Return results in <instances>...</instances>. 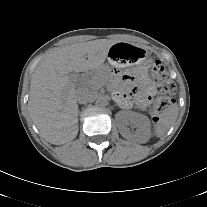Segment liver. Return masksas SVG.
<instances>
[{"label":"liver","mask_w":207,"mask_h":207,"mask_svg":"<svg viewBox=\"0 0 207 207\" xmlns=\"http://www.w3.org/2000/svg\"><path fill=\"white\" fill-rule=\"evenodd\" d=\"M116 43L97 39L59 47L39 63L31 77L28 111L46 141L60 145L76 138L77 90L70 73L101 68Z\"/></svg>","instance_id":"1"}]
</instances>
